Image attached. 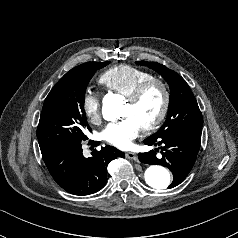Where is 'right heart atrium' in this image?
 I'll use <instances>...</instances> for the list:
<instances>
[{
    "label": "right heart atrium",
    "instance_id": "obj_1",
    "mask_svg": "<svg viewBox=\"0 0 238 238\" xmlns=\"http://www.w3.org/2000/svg\"><path fill=\"white\" fill-rule=\"evenodd\" d=\"M82 107L85 115L92 123H99L101 119V98L99 93L88 90L82 99Z\"/></svg>",
    "mask_w": 238,
    "mask_h": 238
}]
</instances>
